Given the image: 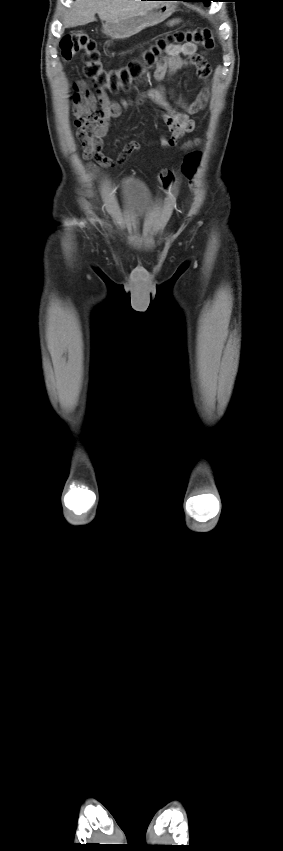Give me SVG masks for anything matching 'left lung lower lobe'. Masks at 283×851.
<instances>
[{
	"instance_id": "left-lung-lower-lobe-1",
	"label": "left lung lower lobe",
	"mask_w": 283,
	"mask_h": 851,
	"mask_svg": "<svg viewBox=\"0 0 283 851\" xmlns=\"http://www.w3.org/2000/svg\"><path fill=\"white\" fill-rule=\"evenodd\" d=\"M178 1H187V0H178ZM188 1H193V0H188Z\"/></svg>"
}]
</instances>
